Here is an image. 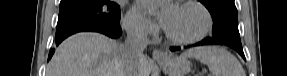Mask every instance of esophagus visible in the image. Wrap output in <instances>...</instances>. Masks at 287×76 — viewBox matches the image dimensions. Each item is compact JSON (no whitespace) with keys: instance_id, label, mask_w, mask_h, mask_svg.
<instances>
[{"instance_id":"esophagus-1","label":"esophagus","mask_w":287,"mask_h":76,"mask_svg":"<svg viewBox=\"0 0 287 76\" xmlns=\"http://www.w3.org/2000/svg\"><path fill=\"white\" fill-rule=\"evenodd\" d=\"M168 55L163 52L162 50H158V49H155L153 51V58L156 60V61H163L165 59H167Z\"/></svg>"}]
</instances>
